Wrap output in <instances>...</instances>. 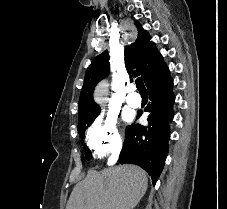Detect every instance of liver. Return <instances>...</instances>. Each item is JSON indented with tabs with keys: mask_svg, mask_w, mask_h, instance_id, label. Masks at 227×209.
<instances>
[{
	"mask_svg": "<svg viewBox=\"0 0 227 209\" xmlns=\"http://www.w3.org/2000/svg\"><path fill=\"white\" fill-rule=\"evenodd\" d=\"M147 187L145 171L135 165L89 171L86 179L75 185L66 209H134Z\"/></svg>",
	"mask_w": 227,
	"mask_h": 209,
	"instance_id": "1",
	"label": "liver"
}]
</instances>
